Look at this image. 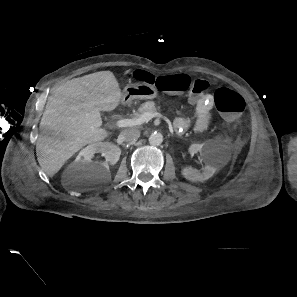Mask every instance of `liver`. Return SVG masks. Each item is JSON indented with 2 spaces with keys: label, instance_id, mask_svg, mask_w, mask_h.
Here are the masks:
<instances>
[{
  "label": "liver",
  "instance_id": "6515ba94",
  "mask_svg": "<svg viewBox=\"0 0 297 297\" xmlns=\"http://www.w3.org/2000/svg\"><path fill=\"white\" fill-rule=\"evenodd\" d=\"M121 95L111 71L74 78L55 88L46 103L39 126L42 134L36 142L41 170L53 177L82 147L107 138L100 111L114 110Z\"/></svg>",
  "mask_w": 297,
  "mask_h": 297
}]
</instances>
